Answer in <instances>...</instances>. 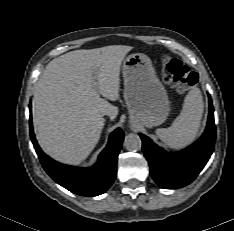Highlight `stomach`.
Wrapping results in <instances>:
<instances>
[{"label":"stomach","mask_w":234,"mask_h":231,"mask_svg":"<svg viewBox=\"0 0 234 231\" xmlns=\"http://www.w3.org/2000/svg\"><path fill=\"white\" fill-rule=\"evenodd\" d=\"M122 73L132 123L148 128L162 124L169 114L170 102L151 59L143 53L131 54L123 60Z\"/></svg>","instance_id":"obj_1"}]
</instances>
